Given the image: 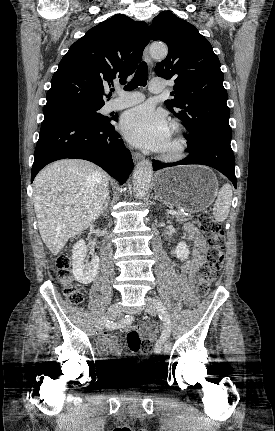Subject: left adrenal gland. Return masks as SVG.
<instances>
[{
  "label": "left adrenal gland",
  "mask_w": 275,
  "mask_h": 431,
  "mask_svg": "<svg viewBox=\"0 0 275 431\" xmlns=\"http://www.w3.org/2000/svg\"><path fill=\"white\" fill-rule=\"evenodd\" d=\"M154 200L160 201V200L158 199V195H155Z\"/></svg>",
  "instance_id": "left-adrenal-gland-1"
}]
</instances>
